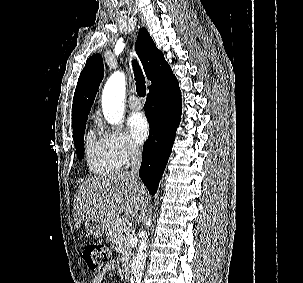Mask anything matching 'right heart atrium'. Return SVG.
<instances>
[{
	"label": "right heart atrium",
	"instance_id": "d8ad5b80",
	"mask_svg": "<svg viewBox=\"0 0 303 283\" xmlns=\"http://www.w3.org/2000/svg\"><path fill=\"white\" fill-rule=\"evenodd\" d=\"M101 140L106 150L120 166L129 164L141 153L139 145L120 127H104Z\"/></svg>",
	"mask_w": 303,
	"mask_h": 283
}]
</instances>
